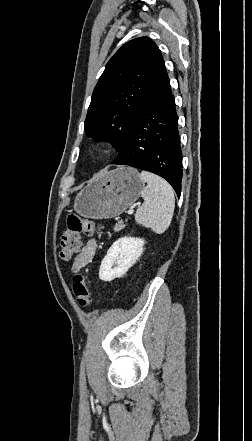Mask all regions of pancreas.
I'll return each mask as SVG.
<instances>
[{
  "instance_id": "obj_1",
  "label": "pancreas",
  "mask_w": 252,
  "mask_h": 441,
  "mask_svg": "<svg viewBox=\"0 0 252 441\" xmlns=\"http://www.w3.org/2000/svg\"><path fill=\"white\" fill-rule=\"evenodd\" d=\"M125 228V225L123 224V221H118V223L114 226V231L119 232Z\"/></svg>"
}]
</instances>
